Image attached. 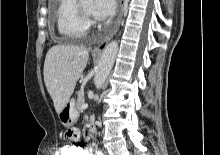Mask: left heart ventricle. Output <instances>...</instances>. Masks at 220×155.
I'll list each match as a JSON object with an SVG mask.
<instances>
[{"label":"left heart ventricle","instance_id":"obj_1","mask_svg":"<svg viewBox=\"0 0 220 155\" xmlns=\"http://www.w3.org/2000/svg\"><path fill=\"white\" fill-rule=\"evenodd\" d=\"M81 5L83 6V8L91 13L92 12V6H93V1L92 0H82L81 1Z\"/></svg>","mask_w":220,"mask_h":155}]
</instances>
